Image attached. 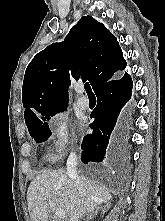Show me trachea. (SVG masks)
<instances>
[{"label": "trachea", "mask_w": 165, "mask_h": 221, "mask_svg": "<svg viewBox=\"0 0 165 221\" xmlns=\"http://www.w3.org/2000/svg\"><path fill=\"white\" fill-rule=\"evenodd\" d=\"M84 88H85L86 93L88 94V96H93L94 95L93 92H92L91 86L88 82L84 84Z\"/></svg>", "instance_id": "obj_1"}]
</instances>
